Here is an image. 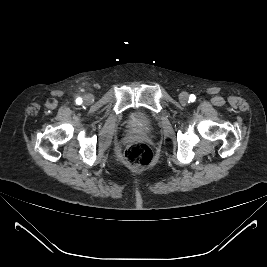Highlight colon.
Segmentation results:
<instances>
[{
	"instance_id": "obj_1",
	"label": "colon",
	"mask_w": 267,
	"mask_h": 267,
	"mask_svg": "<svg viewBox=\"0 0 267 267\" xmlns=\"http://www.w3.org/2000/svg\"><path fill=\"white\" fill-rule=\"evenodd\" d=\"M152 158L151 148L139 140L129 142L124 149V159L133 167H145L151 163Z\"/></svg>"
}]
</instances>
